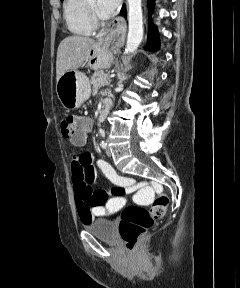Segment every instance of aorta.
Here are the masks:
<instances>
[{
    "mask_svg": "<svg viewBox=\"0 0 240 288\" xmlns=\"http://www.w3.org/2000/svg\"><path fill=\"white\" fill-rule=\"evenodd\" d=\"M129 30L125 51L133 53L143 39L142 0H127Z\"/></svg>",
    "mask_w": 240,
    "mask_h": 288,
    "instance_id": "762f6f07",
    "label": "aorta"
}]
</instances>
